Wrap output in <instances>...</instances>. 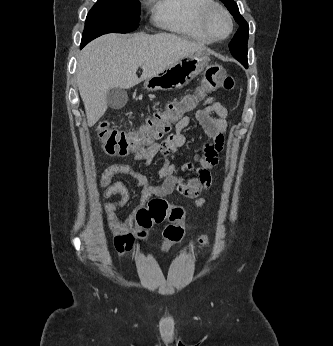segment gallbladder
Segmentation results:
<instances>
[{
	"instance_id": "bac80fb5",
	"label": "gallbladder",
	"mask_w": 333,
	"mask_h": 346,
	"mask_svg": "<svg viewBox=\"0 0 333 346\" xmlns=\"http://www.w3.org/2000/svg\"><path fill=\"white\" fill-rule=\"evenodd\" d=\"M106 101L110 108L121 109L128 101L127 92L120 87L111 88L106 94Z\"/></svg>"
}]
</instances>
